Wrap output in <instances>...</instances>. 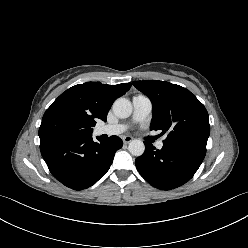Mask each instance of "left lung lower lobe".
<instances>
[{
	"label": "left lung lower lobe",
	"mask_w": 248,
	"mask_h": 248,
	"mask_svg": "<svg viewBox=\"0 0 248 248\" xmlns=\"http://www.w3.org/2000/svg\"><path fill=\"white\" fill-rule=\"evenodd\" d=\"M135 164L141 176L152 186L171 190L189 181L200 167L206 150L196 147L165 145L161 150L148 143Z\"/></svg>",
	"instance_id": "left-lung-lower-lobe-1"
}]
</instances>
